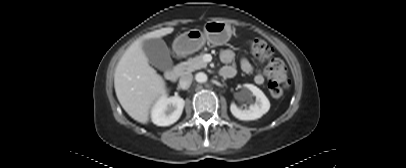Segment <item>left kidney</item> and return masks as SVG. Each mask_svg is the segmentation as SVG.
I'll list each match as a JSON object with an SVG mask.
<instances>
[{
	"mask_svg": "<svg viewBox=\"0 0 406 168\" xmlns=\"http://www.w3.org/2000/svg\"><path fill=\"white\" fill-rule=\"evenodd\" d=\"M246 88L243 94L250 100L248 109H240L234 103L230 106V111L234 117L243 121L256 120L261 118L270 109V102L265 94L253 84H245ZM252 96L255 97V102H252Z\"/></svg>",
	"mask_w": 406,
	"mask_h": 168,
	"instance_id": "1",
	"label": "left kidney"
}]
</instances>
